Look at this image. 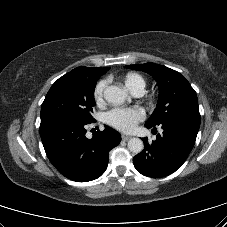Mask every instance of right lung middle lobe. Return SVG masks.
I'll return each mask as SVG.
<instances>
[{
	"instance_id": "right-lung-middle-lobe-1",
	"label": "right lung middle lobe",
	"mask_w": 227,
	"mask_h": 227,
	"mask_svg": "<svg viewBox=\"0 0 227 227\" xmlns=\"http://www.w3.org/2000/svg\"><path fill=\"white\" fill-rule=\"evenodd\" d=\"M100 75L69 72L59 78L48 91L41 106V121L67 118L80 123L94 122V89Z\"/></svg>"
}]
</instances>
